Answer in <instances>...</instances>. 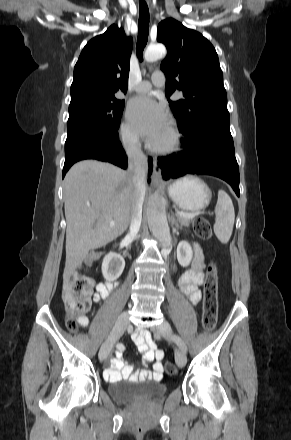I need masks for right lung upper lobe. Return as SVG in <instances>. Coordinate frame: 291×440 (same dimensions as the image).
Wrapping results in <instances>:
<instances>
[{
	"label": "right lung upper lobe",
	"instance_id": "right-lung-upper-lobe-1",
	"mask_svg": "<svg viewBox=\"0 0 291 440\" xmlns=\"http://www.w3.org/2000/svg\"><path fill=\"white\" fill-rule=\"evenodd\" d=\"M132 39L116 25L91 39L74 67L71 102L85 97H110L127 90Z\"/></svg>",
	"mask_w": 291,
	"mask_h": 440
}]
</instances>
